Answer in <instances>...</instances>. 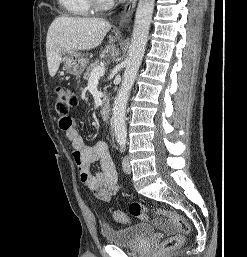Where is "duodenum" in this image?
<instances>
[{
    "mask_svg": "<svg viewBox=\"0 0 247 257\" xmlns=\"http://www.w3.org/2000/svg\"><path fill=\"white\" fill-rule=\"evenodd\" d=\"M100 114L101 117L104 120H108L110 118V114H111V108L110 105L108 103H104L100 109Z\"/></svg>",
    "mask_w": 247,
    "mask_h": 257,
    "instance_id": "duodenum-1",
    "label": "duodenum"
}]
</instances>
